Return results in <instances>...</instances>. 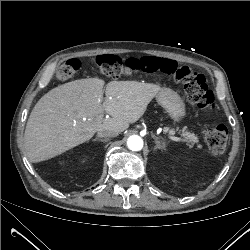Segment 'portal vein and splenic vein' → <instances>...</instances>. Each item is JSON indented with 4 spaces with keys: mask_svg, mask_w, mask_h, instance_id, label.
<instances>
[{
    "mask_svg": "<svg viewBox=\"0 0 250 250\" xmlns=\"http://www.w3.org/2000/svg\"><path fill=\"white\" fill-rule=\"evenodd\" d=\"M170 138H171V140H173V141H183V140H184V139L181 138V137H175V136H171Z\"/></svg>",
    "mask_w": 250,
    "mask_h": 250,
    "instance_id": "1",
    "label": "portal vein and splenic vein"
}]
</instances>
